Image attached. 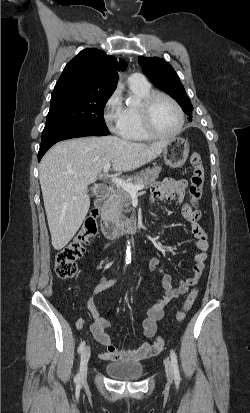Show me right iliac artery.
I'll return each mask as SVG.
<instances>
[{
	"label": "right iliac artery",
	"instance_id": "obj_1",
	"mask_svg": "<svg viewBox=\"0 0 250 413\" xmlns=\"http://www.w3.org/2000/svg\"><path fill=\"white\" fill-rule=\"evenodd\" d=\"M84 349H85V341L80 343L79 348H78V352L82 353L84 351ZM79 381H80V375L77 374L76 377H75V382L79 383Z\"/></svg>",
	"mask_w": 250,
	"mask_h": 413
}]
</instances>
